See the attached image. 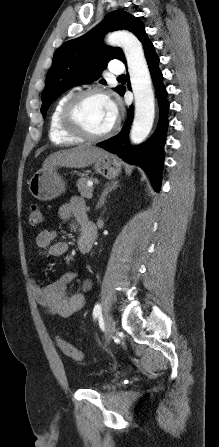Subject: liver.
<instances>
[{"mask_svg":"<svg viewBox=\"0 0 219 447\" xmlns=\"http://www.w3.org/2000/svg\"><path fill=\"white\" fill-rule=\"evenodd\" d=\"M103 153H105L104 150L87 145L60 150L52 153L45 159L43 168L46 169L57 166L84 168L92 165L94 161Z\"/></svg>","mask_w":219,"mask_h":447,"instance_id":"liver-1","label":"liver"}]
</instances>
